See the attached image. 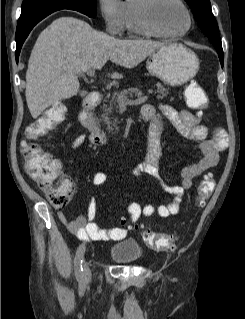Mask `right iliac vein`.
<instances>
[{"instance_id":"63e3f726","label":"right iliac vein","mask_w":245,"mask_h":319,"mask_svg":"<svg viewBox=\"0 0 245 319\" xmlns=\"http://www.w3.org/2000/svg\"><path fill=\"white\" fill-rule=\"evenodd\" d=\"M91 280V271L88 263L84 264V281L89 282Z\"/></svg>"}]
</instances>
